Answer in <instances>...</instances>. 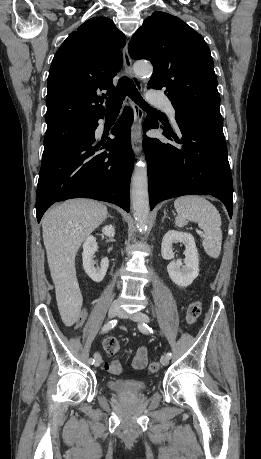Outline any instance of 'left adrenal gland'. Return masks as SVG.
<instances>
[{
  "label": "left adrenal gland",
  "instance_id": "a2214340",
  "mask_svg": "<svg viewBox=\"0 0 261 459\" xmlns=\"http://www.w3.org/2000/svg\"><path fill=\"white\" fill-rule=\"evenodd\" d=\"M165 218H168V219H169V217L166 216V212H164V215H163V217H162V222H164Z\"/></svg>",
  "mask_w": 261,
  "mask_h": 459
}]
</instances>
